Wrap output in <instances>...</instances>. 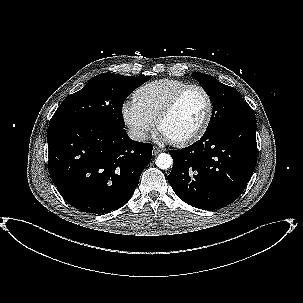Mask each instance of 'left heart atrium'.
I'll list each match as a JSON object with an SVG mask.
<instances>
[{"label": "left heart atrium", "instance_id": "left-heart-atrium-1", "mask_svg": "<svg viewBox=\"0 0 303 303\" xmlns=\"http://www.w3.org/2000/svg\"><path fill=\"white\" fill-rule=\"evenodd\" d=\"M162 137L166 140H171L170 137L167 134L163 133V132H162Z\"/></svg>", "mask_w": 303, "mask_h": 303}]
</instances>
